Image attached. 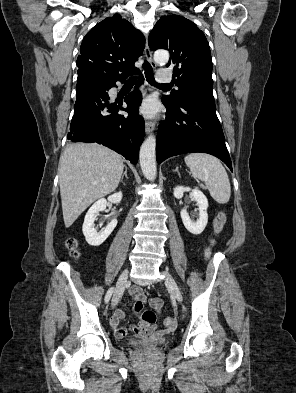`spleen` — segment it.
Instances as JSON below:
<instances>
[{
	"label": "spleen",
	"mask_w": 296,
	"mask_h": 393,
	"mask_svg": "<svg viewBox=\"0 0 296 393\" xmlns=\"http://www.w3.org/2000/svg\"><path fill=\"white\" fill-rule=\"evenodd\" d=\"M184 160L192 176L206 184L216 202L225 204L229 201L231 195L229 178L217 158L205 153H191Z\"/></svg>",
	"instance_id": "spleen-1"
}]
</instances>
